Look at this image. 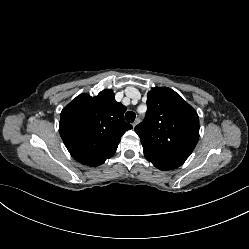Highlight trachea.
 Instances as JSON below:
<instances>
[{"label":"trachea","instance_id":"obj_1","mask_svg":"<svg viewBox=\"0 0 249 249\" xmlns=\"http://www.w3.org/2000/svg\"><path fill=\"white\" fill-rule=\"evenodd\" d=\"M136 114L132 111H127L125 114V119L127 122L132 123L135 120Z\"/></svg>","mask_w":249,"mask_h":249}]
</instances>
